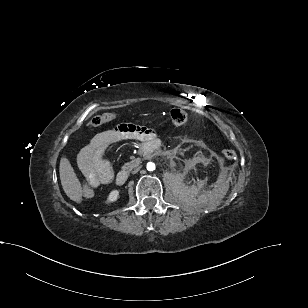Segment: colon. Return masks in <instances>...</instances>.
I'll list each match as a JSON object with an SVG mask.
<instances>
[{
    "mask_svg": "<svg viewBox=\"0 0 308 308\" xmlns=\"http://www.w3.org/2000/svg\"><path fill=\"white\" fill-rule=\"evenodd\" d=\"M170 121L176 126H181L187 122L188 114L184 109L173 108L169 113ZM115 118V115L112 113H103L97 116H94L89 124L90 126L96 127L103 124H106L112 121ZM223 155L227 160H233L236 157V152L233 149H224ZM95 195V187L91 184H86L82 189V196L85 199H91Z\"/></svg>",
    "mask_w": 308,
    "mask_h": 308,
    "instance_id": "5ec220e1",
    "label": "colon"
}]
</instances>
